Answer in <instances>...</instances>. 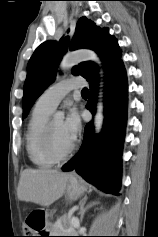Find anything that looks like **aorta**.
<instances>
[{
    "instance_id": "1",
    "label": "aorta",
    "mask_w": 158,
    "mask_h": 237,
    "mask_svg": "<svg viewBox=\"0 0 158 237\" xmlns=\"http://www.w3.org/2000/svg\"><path fill=\"white\" fill-rule=\"evenodd\" d=\"M82 61H93L95 62L98 66H99V75H100V83H99V93H98V102H97V106H96V114L94 116V129H95V133L96 135H98L103 127V121H104V104H103V97H104V93H103V86H104V82H103V77H104V71L102 68V62L100 60V58L97 56V54L91 50H78L72 53H68L66 54L60 65L59 68L61 70H66L69 69L71 67H73L74 65H77L78 63L82 62ZM55 118L56 119H63L64 118V114L62 112H58L55 114Z\"/></svg>"
}]
</instances>
